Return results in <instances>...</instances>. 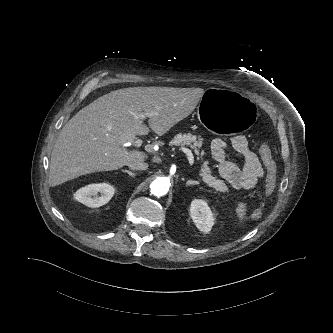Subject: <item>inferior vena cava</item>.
I'll return each instance as SVG.
<instances>
[{
	"label": "inferior vena cava",
	"mask_w": 333,
	"mask_h": 333,
	"mask_svg": "<svg viewBox=\"0 0 333 333\" xmlns=\"http://www.w3.org/2000/svg\"><path fill=\"white\" fill-rule=\"evenodd\" d=\"M128 167L132 170H146L148 164L141 160L132 161L128 164Z\"/></svg>",
	"instance_id": "1"
}]
</instances>
